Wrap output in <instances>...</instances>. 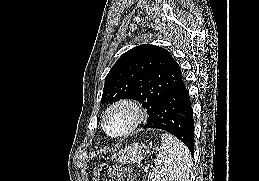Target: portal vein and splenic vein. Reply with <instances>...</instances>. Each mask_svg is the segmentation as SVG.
I'll list each match as a JSON object with an SVG mask.
<instances>
[{"mask_svg":"<svg viewBox=\"0 0 259 181\" xmlns=\"http://www.w3.org/2000/svg\"><path fill=\"white\" fill-rule=\"evenodd\" d=\"M143 169H144V171H145V172H147V171H148V167H144Z\"/></svg>","mask_w":259,"mask_h":181,"instance_id":"18ae733b","label":"portal vein and splenic vein"}]
</instances>
